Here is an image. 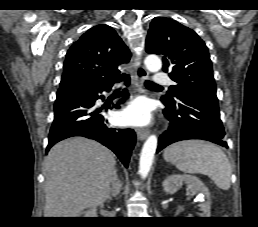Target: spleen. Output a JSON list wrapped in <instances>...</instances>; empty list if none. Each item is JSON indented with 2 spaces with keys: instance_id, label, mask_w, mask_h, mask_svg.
I'll list each match as a JSON object with an SVG mask.
<instances>
[{
  "instance_id": "spleen-1",
  "label": "spleen",
  "mask_w": 258,
  "mask_h": 227,
  "mask_svg": "<svg viewBox=\"0 0 258 227\" xmlns=\"http://www.w3.org/2000/svg\"><path fill=\"white\" fill-rule=\"evenodd\" d=\"M164 158L182 172L204 174L218 188H230V162L222 149L212 143L203 140L179 141L164 150Z\"/></svg>"
}]
</instances>
